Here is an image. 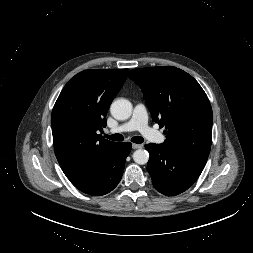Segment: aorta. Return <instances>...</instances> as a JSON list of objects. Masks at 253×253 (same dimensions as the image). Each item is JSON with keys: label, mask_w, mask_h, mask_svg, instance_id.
<instances>
[{"label": "aorta", "mask_w": 253, "mask_h": 253, "mask_svg": "<svg viewBox=\"0 0 253 253\" xmlns=\"http://www.w3.org/2000/svg\"><path fill=\"white\" fill-rule=\"evenodd\" d=\"M111 115L117 120H126L132 114V104L127 99H117L113 101L110 107ZM135 163L144 165L149 160V153L146 150L138 149L133 153Z\"/></svg>", "instance_id": "762f6f07"}]
</instances>
